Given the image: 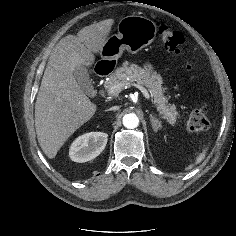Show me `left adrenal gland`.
Here are the masks:
<instances>
[{"mask_svg": "<svg viewBox=\"0 0 236 236\" xmlns=\"http://www.w3.org/2000/svg\"><path fill=\"white\" fill-rule=\"evenodd\" d=\"M150 120L152 123L153 130L157 132L161 129V123L158 119H156L152 114H150Z\"/></svg>", "mask_w": 236, "mask_h": 236, "instance_id": "left-adrenal-gland-1", "label": "left adrenal gland"}]
</instances>
